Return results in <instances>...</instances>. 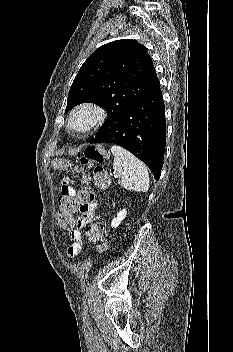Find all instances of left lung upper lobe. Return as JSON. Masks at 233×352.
<instances>
[{"label": "left lung upper lobe", "instance_id": "obj_1", "mask_svg": "<svg viewBox=\"0 0 233 352\" xmlns=\"http://www.w3.org/2000/svg\"><path fill=\"white\" fill-rule=\"evenodd\" d=\"M158 83L147 49L136 40H116L99 47L83 63L69 90L65 112L81 103L102 106L108 117L99 135Z\"/></svg>", "mask_w": 233, "mask_h": 352}]
</instances>
